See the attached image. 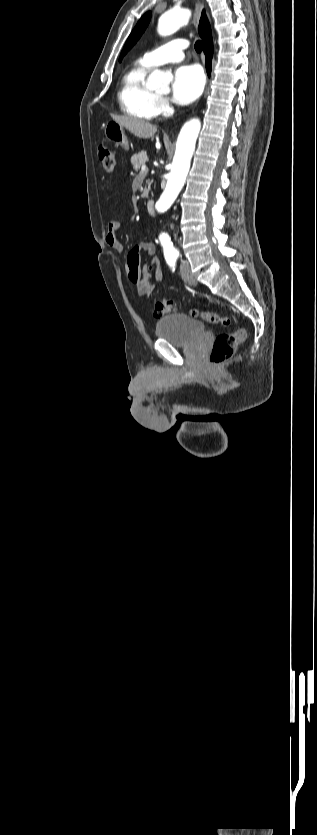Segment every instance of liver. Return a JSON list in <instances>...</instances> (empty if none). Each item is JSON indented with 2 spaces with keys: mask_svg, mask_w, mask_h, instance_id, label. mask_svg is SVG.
<instances>
[{
  "mask_svg": "<svg viewBox=\"0 0 317 835\" xmlns=\"http://www.w3.org/2000/svg\"><path fill=\"white\" fill-rule=\"evenodd\" d=\"M113 120L141 139H148L157 132V126L137 118L115 116Z\"/></svg>",
  "mask_w": 317,
  "mask_h": 835,
  "instance_id": "6515ba94",
  "label": "liver"
}]
</instances>
